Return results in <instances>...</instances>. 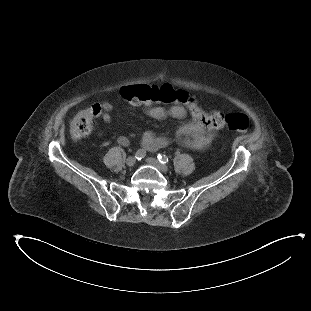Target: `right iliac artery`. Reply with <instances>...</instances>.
<instances>
[{
	"label": "right iliac artery",
	"mask_w": 311,
	"mask_h": 311,
	"mask_svg": "<svg viewBox=\"0 0 311 311\" xmlns=\"http://www.w3.org/2000/svg\"><path fill=\"white\" fill-rule=\"evenodd\" d=\"M146 156V150L145 149H139L136 153H135V158L137 160H141L142 158H144Z\"/></svg>",
	"instance_id": "right-iliac-artery-1"
}]
</instances>
